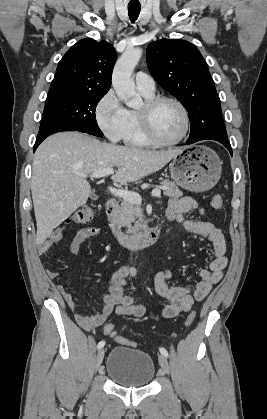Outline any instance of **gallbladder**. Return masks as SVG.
<instances>
[{"label": "gallbladder", "mask_w": 267, "mask_h": 419, "mask_svg": "<svg viewBox=\"0 0 267 419\" xmlns=\"http://www.w3.org/2000/svg\"><path fill=\"white\" fill-rule=\"evenodd\" d=\"M91 198H97V196L96 195H92Z\"/></svg>", "instance_id": "1"}]
</instances>
